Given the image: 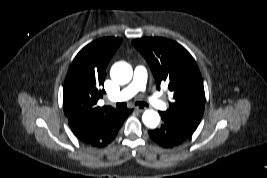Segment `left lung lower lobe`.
Wrapping results in <instances>:
<instances>
[{"mask_svg":"<svg viewBox=\"0 0 267 178\" xmlns=\"http://www.w3.org/2000/svg\"><path fill=\"white\" fill-rule=\"evenodd\" d=\"M163 124L148 133L151 139L159 146L172 148L185 142L191 134L184 131L174 120L163 116L160 112Z\"/></svg>","mask_w":267,"mask_h":178,"instance_id":"obj_1","label":"left lung lower lobe"}]
</instances>
